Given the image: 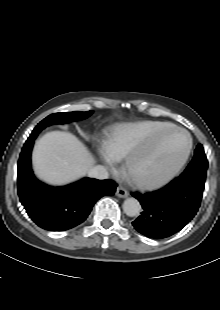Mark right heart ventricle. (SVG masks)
Masks as SVG:
<instances>
[{
  "label": "right heart ventricle",
  "mask_w": 220,
  "mask_h": 310,
  "mask_svg": "<svg viewBox=\"0 0 220 310\" xmlns=\"http://www.w3.org/2000/svg\"><path fill=\"white\" fill-rule=\"evenodd\" d=\"M169 125L160 121H142L120 126L104 144V153L113 161H121L135 149L147 144L157 131Z\"/></svg>",
  "instance_id": "e07e8e85"
}]
</instances>
